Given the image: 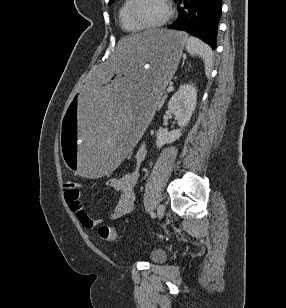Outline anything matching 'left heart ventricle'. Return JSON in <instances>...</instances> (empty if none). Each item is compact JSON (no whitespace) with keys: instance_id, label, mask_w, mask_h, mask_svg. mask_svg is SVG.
I'll list each match as a JSON object with an SVG mask.
<instances>
[{"instance_id":"obj_1","label":"left heart ventricle","mask_w":286,"mask_h":308,"mask_svg":"<svg viewBox=\"0 0 286 308\" xmlns=\"http://www.w3.org/2000/svg\"><path fill=\"white\" fill-rule=\"evenodd\" d=\"M136 14L143 23L153 24L164 18L166 7L163 0H139Z\"/></svg>"}]
</instances>
